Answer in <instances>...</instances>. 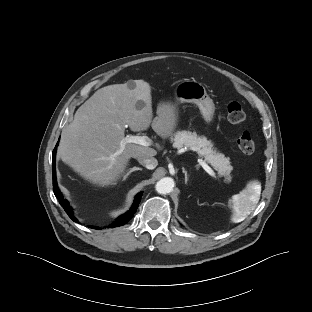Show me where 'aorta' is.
I'll list each match as a JSON object with an SVG mask.
<instances>
[{
    "mask_svg": "<svg viewBox=\"0 0 312 312\" xmlns=\"http://www.w3.org/2000/svg\"><path fill=\"white\" fill-rule=\"evenodd\" d=\"M174 188V180L170 177H164L160 179L156 185L155 189L159 194H167L172 192Z\"/></svg>",
    "mask_w": 312,
    "mask_h": 312,
    "instance_id": "obj_1",
    "label": "aorta"
}]
</instances>
